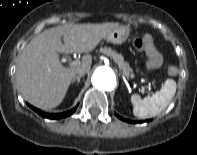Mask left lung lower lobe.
<instances>
[{"instance_id":"obj_1","label":"left lung lower lobe","mask_w":197,"mask_h":155,"mask_svg":"<svg viewBox=\"0 0 197 155\" xmlns=\"http://www.w3.org/2000/svg\"><path fill=\"white\" fill-rule=\"evenodd\" d=\"M117 117L120 118L121 120H124V121H128V122H131V123H137L136 121H129V120H126V119H124V118H122V117H120V116H118V115H117Z\"/></svg>"}]
</instances>
